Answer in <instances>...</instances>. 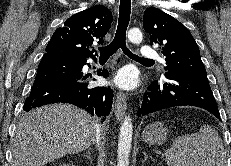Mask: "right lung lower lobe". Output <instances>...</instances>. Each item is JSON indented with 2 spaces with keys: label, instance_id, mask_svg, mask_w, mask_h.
<instances>
[{
  "label": "right lung lower lobe",
  "instance_id": "1",
  "mask_svg": "<svg viewBox=\"0 0 231 166\" xmlns=\"http://www.w3.org/2000/svg\"><path fill=\"white\" fill-rule=\"evenodd\" d=\"M87 59H69L44 55L24 111L51 103H71L98 117L109 115L112 108L113 90L110 87H90L81 72ZM98 75L108 76L106 69Z\"/></svg>",
  "mask_w": 231,
  "mask_h": 166
}]
</instances>
